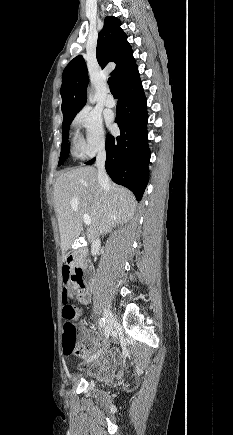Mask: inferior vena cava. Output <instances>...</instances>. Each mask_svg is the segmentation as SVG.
Returning <instances> with one entry per match:
<instances>
[{
    "instance_id": "inferior-vena-cava-1",
    "label": "inferior vena cava",
    "mask_w": 233,
    "mask_h": 435,
    "mask_svg": "<svg viewBox=\"0 0 233 435\" xmlns=\"http://www.w3.org/2000/svg\"><path fill=\"white\" fill-rule=\"evenodd\" d=\"M105 160H106V152H105L104 148H102L98 152V155H97V158H96V166H97V169H98V178L101 181H105V180L108 179L107 173H106V170H105V167H104Z\"/></svg>"
}]
</instances>
